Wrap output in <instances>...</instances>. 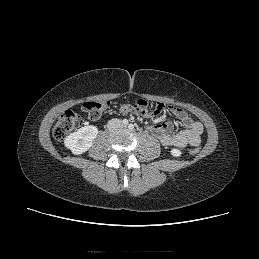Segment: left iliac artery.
<instances>
[{
    "label": "left iliac artery",
    "mask_w": 259,
    "mask_h": 259,
    "mask_svg": "<svg viewBox=\"0 0 259 259\" xmlns=\"http://www.w3.org/2000/svg\"><path fill=\"white\" fill-rule=\"evenodd\" d=\"M129 129H133L134 128V125L133 124H129Z\"/></svg>",
    "instance_id": "left-iliac-artery-1"
}]
</instances>
